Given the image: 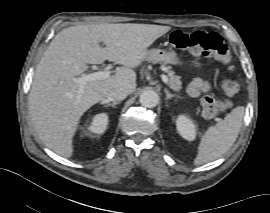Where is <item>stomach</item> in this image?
I'll return each mask as SVG.
<instances>
[{"instance_id":"obj_1","label":"stomach","mask_w":270,"mask_h":213,"mask_svg":"<svg viewBox=\"0 0 270 213\" xmlns=\"http://www.w3.org/2000/svg\"><path fill=\"white\" fill-rule=\"evenodd\" d=\"M145 60L152 63H164V64H180L182 62L179 54L173 49L160 50V49H150L147 50ZM196 67H201V63H195Z\"/></svg>"}]
</instances>
